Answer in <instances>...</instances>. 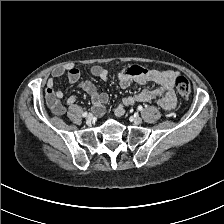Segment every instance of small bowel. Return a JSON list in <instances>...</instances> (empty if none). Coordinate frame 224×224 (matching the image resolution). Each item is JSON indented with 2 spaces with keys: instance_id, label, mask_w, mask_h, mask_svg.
I'll return each instance as SVG.
<instances>
[{
  "instance_id": "obj_1",
  "label": "small bowel",
  "mask_w": 224,
  "mask_h": 224,
  "mask_svg": "<svg viewBox=\"0 0 224 224\" xmlns=\"http://www.w3.org/2000/svg\"><path fill=\"white\" fill-rule=\"evenodd\" d=\"M90 73L103 81L108 79V71L99 65L92 66ZM64 74L67 75L70 83H78L79 87L90 96L93 102L94 113L96 115H102L104 112V104L108 101L107 94L100 92L90 81H80L81 73L79 69L71 65L57 67L47 81L46 100L51 111L56 115H63L65 113V107L60 102L63 98V93L54 89L55 79ZM176 77L177 73L173 70H151L144 75L134 77L124 72L121 73L119 75V85L122 88H129L133 85H145L147 83H155L158 87L145 88L132 96L125 97L117 107L115 111L116 115H122L126 106L133 105L137 102H150L156 97H158V105L162 109H174L177 104V97L173 89ZM75 101L76 97L73 95L67 99L68 104H73Z\"/></svg>"
}]
</instances>
